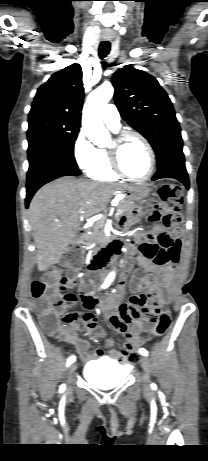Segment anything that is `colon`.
<instances>
[{"label": "colon", "mask_w": 208, "mask_h": 461, "mask_svg": "<svg viewBox=\"0 0 208 461\" xmlns=\"http://www.w3.org/2000/svg\"><path fill=\"white\" fill-rule=\"evenodd\" d=\"M158 200H147L142 205V211L152 222H162L167 228L178 224L182 217L180 208L182 205V190L175 184H164L158 190ZM140 237L136 238L140 241ZM158 241V240H157ZM140 251H167L159 249L158 244L153 245L142 242ZM72 287V282L61 275L58 268L51 267L38 280L32 283L31 293L36 301L37 313L45 332L54 338L60 337L59 313H70V309L63 307L60 298L62 291ZM171 317L169 312H162L153 326L155 337L163 336L169 329ZM144 345L143 340H127L123 349L126 352H138Z\"/></svg>", "instance_id": "1"}]
</instances>
